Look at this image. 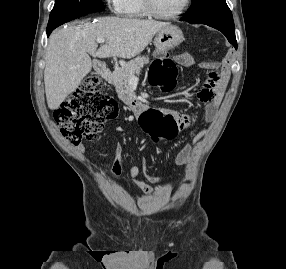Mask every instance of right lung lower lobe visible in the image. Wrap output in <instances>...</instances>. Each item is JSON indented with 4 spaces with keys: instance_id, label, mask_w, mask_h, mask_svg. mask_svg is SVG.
<instances>
[{
    "instance_id": "1",
    "label": "right lung lower lobe",
    "mask_w": 286,
    "mask_h": 269,
    "mask_svg": "<svg viewBox=\"0 0 286 269\" xmlns=\"http://www.w3.org/2000/svg\"><path fill=\"white\" fill-rule=\"evenodd\" d=\"M53 30H54V28H53V29H47V37L50 35V33H51Z\"/></svg>"
}]
</instances>
